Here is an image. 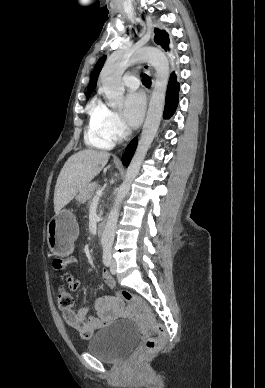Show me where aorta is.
Returning a JSON list of instances; mask_svg holds the SVG:
<instances>
[{
	"label": "aorta",
	"instance_id": "762f6f07",
	"mask_svg": "<svg viewBox=\"0 0 265 388\" xmlns=\"http://www.w3.org/2000/svg\"><path fill=\"white\" fill-rule=\"evenodd\" d=\"M137 61L150 63L155 68L156 79L136 152L127 168L125 179L119 187L115 203L108 215L107 223L101 237V244L104 247H111L113 244L120 204L139 173L145 155L158 131L164 110L165 95L170 74L169 61L162 51L155 48L116 51L109 57L101 72L102 86L109 100V106L112 108L122 106L124 86L121 82V77L126 67Z\"/></svg>",
	"mask_w": 265,
	"mask_h": 388
}]
</instances>
